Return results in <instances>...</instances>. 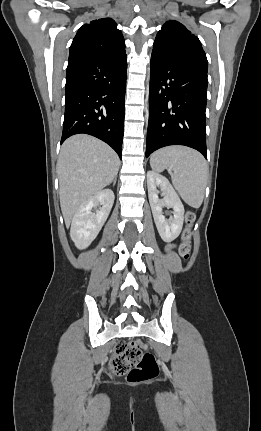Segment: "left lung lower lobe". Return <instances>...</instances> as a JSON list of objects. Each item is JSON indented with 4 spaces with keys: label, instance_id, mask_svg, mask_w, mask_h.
I'll return each instance as SVG.
<instances>
[{
    "label": "left lung lower lobe",
    "instance_id": "0a47b994",
    "mask_svg": "<svg viewBox=\"0 0 261 431\" xmlns=\"http://www.w3.org/2000/svg\"><path fill=\"white\" fill-rule=\"evenodd\" d=\"M207 72L152 52L146 157L169 145L206 154Z\"/></svg>",
    "mask_w": 261,
    "mask_h": 431
}]
</instances>
